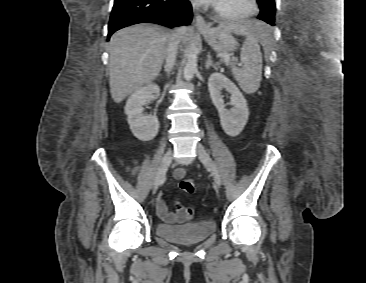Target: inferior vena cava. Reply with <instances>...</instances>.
Segmentation results:
<instances>
[{"mask_svg":"<svg viewBox=\"0 0 366 283\" xmlns=\"http://www.w3.org/2000/svg\"><path fill=\"white\" fill-rule=\"evenodd\" d=\"M185 29L184 27L176 29L170 38L167 54H166V63H165V72L169 74L173 66L175 64L176 56H177V50L180 44V41L182 39V33L181 31Z\"/></svg>","mask_w":366,"mask_h":283,"instance_id":"inferior-vena-cava-1","label":"inferior vena cava"}]
</instances>
